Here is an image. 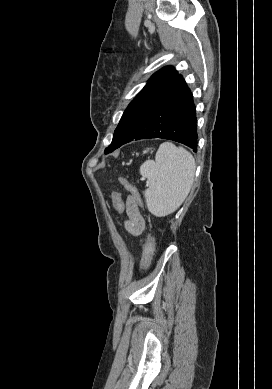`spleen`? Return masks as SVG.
Returning <instances> with one entry per match:
<instances>
[{
	"label": "spleen",
	"instance_id": "3e777b00",
	"mask_svg": "<svg viewBox=\"0 0 272 389\" xmlns=\"http://www.w3.org/2000/svg\"><path fill=\"white\" fill-rule=\"evenodd\" d=\"M195 168L191 153L170 142L162 143L155 161L147 160L140 166V174L149 183L144 192L148 210L157 217L176 211L191 189Z\"/></svg>",
	"mask_w": 272,
	"mask_h": 389
}]
</instances>
